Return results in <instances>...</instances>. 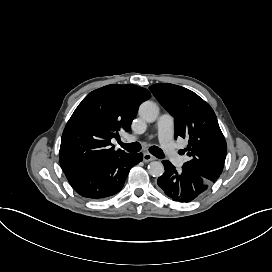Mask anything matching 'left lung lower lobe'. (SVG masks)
<instances>
[{"mask_svg": "<svg viewBox=\"0 0 272 272\" xmlns=\"http://www.w3.org/2000/svg\"><path fill=\"white\" fill-rule=\"evenodd\" d=\"M162 163L165 172L158 178V186L174 201L191 202L204 194L212 185L193 171L182 167V172L178 173L169 161L165 160Z\"/></svg>", "mask_w": 272, "mask_h": 272, "instance_id": "1", "label": "left lung lower lobe"}]
</instances>
